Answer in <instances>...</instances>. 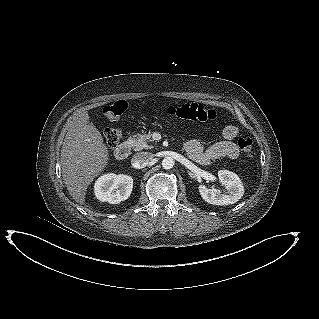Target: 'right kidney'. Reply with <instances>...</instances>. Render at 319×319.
I'll return each instance as SVG.
<instances>
[{
	"label": "right kidney",
	"instance_id": "right-kidney-1",
	"mask_svg": "<svg viewBox=\"0 0 319 319\" xmlns=\"http://www.w3.org/2000/svg\"><path fill=\"white\" fill-rule=\"evenodd\" d=\"M132 188V177L107 173L97 179L94 185V192L96 198L101 202L118 204L130 196Z\"/></svg>",
	"mask_w": 319,
	"mask_h": 319
}]
</instances>
